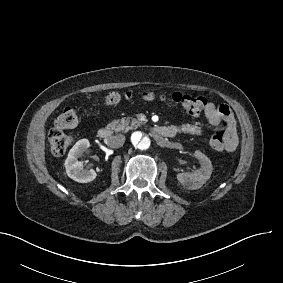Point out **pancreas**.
<instances>
[{"label": "pancreas", "mask_w": 283, "mask_h": 283, "mask_svg": "<svg viewBox=\"0 0 283 283\" xmlns=\"http://www.w3.org/2000/svg\"><path fill=\"white\" fill-rule=\"evenodd\" d=\"M141 124L142 123L138 121L137 119H133L131 121L122 119L120 122L115 120L113 123H110L108 127L110 128L111 131L119 132L122 130L127 131L129 129L136 128L140 126Z\"/></svg>", "instance_id": "cf45deb5"}]
</instances>
